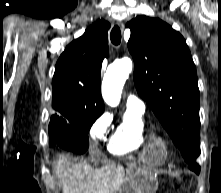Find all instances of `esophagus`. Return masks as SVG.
<instances>
[{
    "label": "esophagus",
    "instance_id": "1",
    "mask_svg": "<svg viewBox=\"0 0 221 193\" xmlns=\"http://www.w3.org/2000/svg\"><path fill=\"white\" fill-rule=\"evenodd\" d=\"M118 25H119V27L121 28V30H123V28H124L123 23H122V22H118Z\"/></svg>",
    "mask_w": 221,
    "mask_h": 193
}]
</instances>
